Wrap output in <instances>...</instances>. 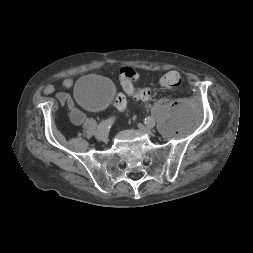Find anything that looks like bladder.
<instances>
[{
	"instance_id": "obj_1",
	"label": "bladder",
	"mask_w": 253,
	"mask_h": 253,
	"mask_svg": "<svg viewBox=\"0 0 253 253\" xmlns=\"http://www.w3.org/2000/svg\"><path fill=\"white\" fill-rule=\"evenodd\" d=\"M114 96L113 83L98 75L84 76L74 86L77 103L89 110L106 108L113 101Z\"/></svg>"
}]
</instances>
